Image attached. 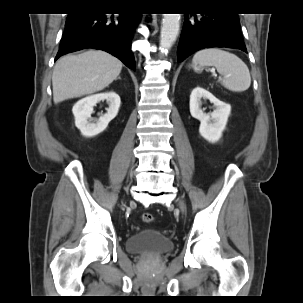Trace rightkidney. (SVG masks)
<instances>
[{
  "label": "right kidney",
  "mask_w": 303,
  "mask_h": 303,
  "mask_svg": "<svg viewBox=\"0 0 303 303\" xmlns=\"http://www.w3.org/2000/svg\"><path fill=\"white\" fill-rule=\"evenodd\" d=\"M106 100L109 104L107 113L94 120L91 117L93 107L100 101ZM120 97L115 92L100 93L79 100L72 109L75 125L84 137H94L103 132L109 122L114 119L120 108Z\"/></svg>",
  "instance_id": "right-kidney-1"
}]
</instances>
